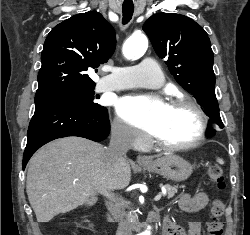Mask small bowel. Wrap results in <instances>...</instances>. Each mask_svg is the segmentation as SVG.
Returning a JSON list of instances; mask_svg holds the SVG:
<instances>
[{"label": "small bowel", "mask_w": 250, "mask_h": 235, "mask_svg": "<svg viewBox=\"0 0 250 235\" xmlns=\"http://www.w3.org/2000/svg\"><path fill=\"white\" fill-rule=\"evenodd\" d=\"M208 195L204 192L195 195L186 194L181 198V208L189 213H195L204 209L208 205ZM163 235H201V225L199 222L192 221L188 229H184L173 223L170 218L163 222Z\"/></svg>", "instance_id": "c3829d8e"}]
</instances>
